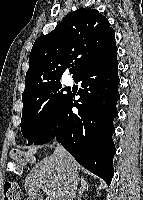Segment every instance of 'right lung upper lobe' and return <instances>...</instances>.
Masks as SVG:
<instances>
[{
	"mask_svg": "<svg viewBox=\"0 0 143 200\" xmlns=\"http://www.w3.org/2000/svg\"><path fill=\"white\" fill-rule=\"evenodd\" d=\"M109 21L97 10L68 13L49 34L36 39L29 57L23 93L60 81L65 70L75 78L91 62L116 48Z\"/></svg>",
	"mask_w": 143,
	"mask_h": 200,
	"instance_id": "1",
	"label": "right lung upper lobe"
}]
</instances>
